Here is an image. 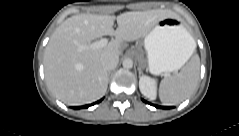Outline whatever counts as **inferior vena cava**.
<instances>
[{"label": "inferior vena cava", "mask_w": 239, "mask_h": 136, "mask_svg": "<svg viewBox=\"0 0 239 136\" xmlns=\"http://www.w3.org/2000/svg\"><path fill=\"white\" fill-rule=\"evenodd\" d=\"M102 65L104 67L105 70L107 71H111L112 69H114L118 62H119V57L118 56H106L104 58H102Z\"/></svg>", "instance_id": "inferior-vena-cava-1"}]
</instances>
